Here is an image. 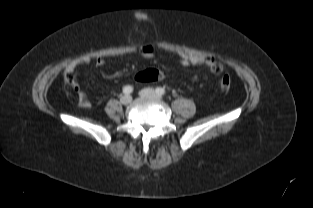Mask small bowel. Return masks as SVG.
I'll use <instances>...</instances> for the list:
<instances>
[{"mask_svg":"<svg viewBox=\"0 0 313 208\" xmlns=\"http://www.w3.org/2000/svg\"><path fill=\"white\" fill-rule=\"evenodd\" d=\"M140 54L144 57V58H153L155 56V49L153 46L147 45V46H143L140 49ZM215 57L213 56H197V55H186V54H182L180 55V63L184 66H189V65H199V64H205L207 66H211V63L213 61H215ZM92 61V58L88 55H84L81 56L77 59H75L74 61H72L66 71L67 73L69 72H73L74 69L78 66V65H82V64H88ZM94 63L97 66H101L105 63V58L103 56L97 57L94 59ZM76 90H77V102L78 105L82 108H89L91 107V103L87 97V95L85 94V92L81 89H78L77 86H75Z\"/></svg>","mask_w":313,"mask_h":208,"instance_id":"small-bowel-1","label":"small bowel"}]
</instances>
